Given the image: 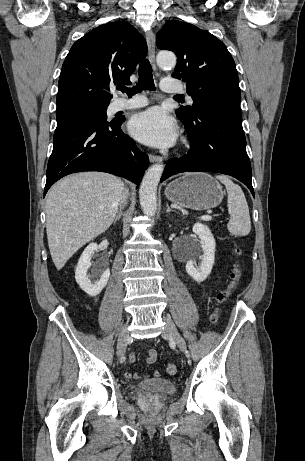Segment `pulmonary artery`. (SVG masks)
I'll list each match as a JSON object with an SVG mask.
<instances>
[{"label":"pulmonary artery","mask_w":305,"mask_h":461,"mask_svg":"<svg viewBox=\"0 0 305 461\" xmlns=\"http://www.w3.org/2000/svg\"><path fill=\"white\" fill-rule=\"evenodd\" d=\"M161 88L163 91L168 93H180L184 91L183 86L176 83L172 78H164L161 83ZM187 99L190 103H192V98L190 96H187ZM146 104L147 100L142 96H136L132 99L118 98L113 101L112 108L114 111H121L139 108L145 106Z\"/></svg>","instance_id":"e3ab8cb5"}]
</instances>
